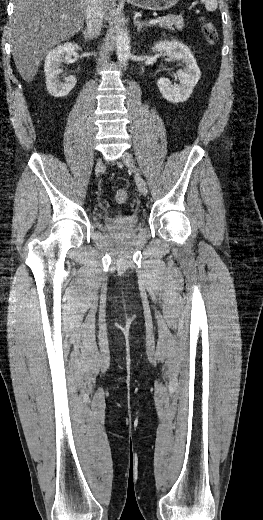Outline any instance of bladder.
<instances>
[{
	"label": "bladder",
	"mask_w": 263,
	"mask_h": 520,
	"mask_svg": "<svg viewBox=\"0 0 263 520\" xmlns=\"http://www.w3.org/2000/svg\"><path fill=\"white\" fill-rule=\"evenodd\" d=\"M139 216L137 214H126L119 216H109L105 219L106 225L112 230H130L139 224Z\"/></svg>",
	"instance_id": "31cf9c89"
}]
</instances>
